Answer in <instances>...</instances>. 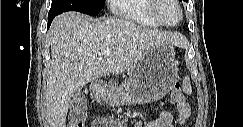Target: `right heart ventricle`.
I'll use <instances>...</instances> for the list:
<instances>
[{"label": "right heart ventricle", "mask_w": 243, "mask_h": 127, "mask_svg": "<svg viewBox=\"0 0 243 127\" xmlns=\"http://www.w3.org/2000/svg\"><path fill=\"white\" fill-rule=\"evenodd\" d=\"M150 0H113L111 10L115 16L133 25L157 29L161 25L151 15Z\"/></svg>", "instance_id": "1"}]
</instances>
